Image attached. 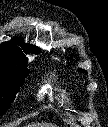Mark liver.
Instances as JSON below:
<instances>
[{
    "instance_id": "liver-1",
    "label": "liver",
    "mask_w": 108,
    "mask_h": 127,
    "mask_svg": "<svg viewBox=\"0 0 108 127\" xmlns=\"http://www.w3.org/2000/svg\"><path fill=\"white\" fill-rule=\"evenodd\" d=\"M26 127H57V126L50 123H33L28 124Z\"/></svg>"
}]
</instances>
